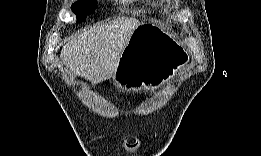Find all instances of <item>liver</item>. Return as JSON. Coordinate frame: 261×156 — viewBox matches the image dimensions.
Listing matches in <instances>:
<instances>
[{"instance_id":"6515ba94","label":"liver","mask_w":261,"mask_h":156,"mask_svg":"<svg viewBox=\"0 0 261 156\" xmlns=\"http://www.w3.org/2000/svg\"><path fill=\"white\" fill-rule=\"evenodd\" d=\"M142 23L120 17L71 36L61 50V61L74 75L98 84L117 71L132 32Z\"/></svg>"}]
</instances>
